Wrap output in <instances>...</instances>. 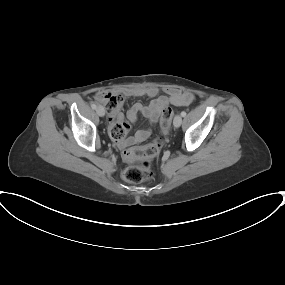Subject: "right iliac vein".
Returning <instances> with one entry per match:
<instances>
[{"mask_svg":"<svg viewBox=\"0 0 285 285\" xmlns=\"http://www.w3.org/2000/svg\"><path fill=\"white\" fill-rule=\"evenodd\" d=\"M96 112L101 117L105 115V110L102 106L97 107Z\"/></svg>","mask_w":285,"mask_h":285,"instance_id":"right-iliac-vein-1","label":"right iliac vein"}]
</instances>
